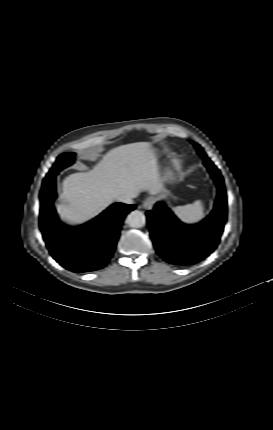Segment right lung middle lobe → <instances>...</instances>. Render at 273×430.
Returning <instances> with one entry per match:
<instances>
[{"instance_id":"dd1d6c3e","label":"right lung middle lobe","mask_w":273,"mask_h":430,"mask_svg":"<svg viewBox=\"0 0 273 430\" xmlns=\"http://www.w3.org/2000/svg\"><path fill=\"white\" fill-rule=\"evenodd\" d=\"M74 153H63L61 154L55 164L50 169L49 173L46 175L44 180L50 179L51 177H55L62 169L70 166L74 161Z\"/></svg>"}]
</instances>
